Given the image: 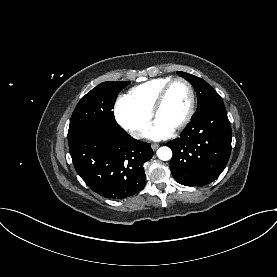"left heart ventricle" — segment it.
Masks as SVG:
<instances>
[{
	"label": "left heart ventricle",
	"mask_w": 277,
	"mask_h": 277,
	"mask_svg": "<svg viewBox=\"0 0 277 277\" xmlns=\"http://www.w3.org/2000/svg\"><path fill=\"white\" fill-rule=\"evenodd\" d=\"M190 104L188 88L183 83H175L169 90L156 120L174 129L186 116Z\"/></svg>",
	"instance_id": "b2bd125f"
}]
</instances>
